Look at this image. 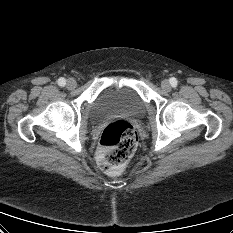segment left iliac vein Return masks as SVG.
Listing matches in <instances>:
<instances>
[{"label": "left iliac vein", "instance_id": "left-iliac-vein-1", "mask_svg": "<svg viewBox=\"0 0 233 233\" xmlns=\"http://www.w3.org/2000/svg\"><path fill=\"white\" fill-rule=\"evenodd\" d=\"M161 87L165 91H170L171 90V84H170V82L168 80H163L161 82Z\"/></svg>", "mask_w": 233, "mask_h": 233}]
</instances>
